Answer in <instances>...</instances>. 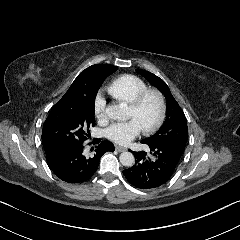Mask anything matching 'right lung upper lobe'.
Wrapping results in <instances>:
<instances>
[{"mask_svg":"<svg viewBox=\"0 0 240 240\" xmlns=\"http://www.w3.org/2000/svg\"><path fill=\"white\" fill-rule=\"evenodd\" d=\"M116 70H117V67L112 65H106V64L92 65L86 68L84 71H82L73 83H76L78 80L84 77H94V76L107 77Z\"/></svg>","mask_w":240,"mask_h":240,"instance_id":"right-lung-upper-lobe-1","label":"right lung upper lobe"}]
</instances>
